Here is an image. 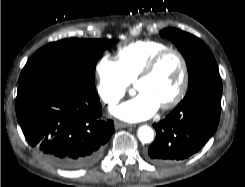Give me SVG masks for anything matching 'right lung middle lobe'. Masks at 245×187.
Returning a JSON list of instances; mask_svg holds the SVG:
<instances>
[{
  "instance_id": "dd1d6c3e",
  "label": "right lung middle lobe",
  "mask_w": 245,
  "mask_h": 187,
  "mask_svg": "<svg viewBox=\"0 0 245 187\" xmlns=\"http://www.w3.org/2000/svg\"><path fill=\"white\" fill-rule=\"evenodd\" d=\"M116 43L106 39H64L39 49L26 63L19 85L37 78L55 77L95 90L96 62Z\"/></svg>"
}]
</instances>
